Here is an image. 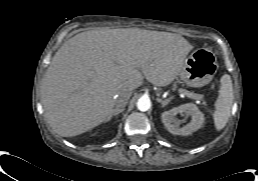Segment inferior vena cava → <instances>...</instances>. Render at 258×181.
<instances>
[{"mask_svg":"<svg viewBox=\"0 0 258 181\" xmlns=\"http://www.w3.org/2000/svg\"><path fill=\"white\" fill-rule=\"evenodd\" d=\"M131 94L130 93H125L121 95L117 100H116V108L117 109H122L127 105V102L130 98Z\"/></svg>","mask_w":258,"mask_h":181,"instance_id":"inferior-vena-cava-1","label":"inferior vena cava"}]
</instances>
